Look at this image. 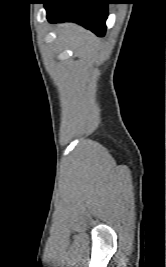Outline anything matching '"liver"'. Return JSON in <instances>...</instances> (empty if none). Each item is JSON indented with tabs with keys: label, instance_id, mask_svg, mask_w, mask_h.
Returning a JSON list of instances; mask_svg holds the SVG:
<instances>
[{
	"label": "liver",
	"instance_id": "1",
	"mask_svg": "<svg viewBox=\"0 0 166 267\" xmlns=\"http://www.w3.org/2000/svg\"><path fill=\"white\" fill-rule=\"evenodd\" d=\"M58 39L69 43L76 54H84L93 49L98 41L91 32L74 23H65L57 27Z\"/></svg>",
	"mask_w": 166,
	"mask_h": 267
}]
</instances>
